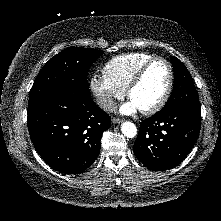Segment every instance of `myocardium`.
<instances>
[{
    "instance_id": "obj_1",
    "label": "myocardium",
    "mask_w": 221,
    "mask_h": 221,
    "mask_svg": "<svg viewBox=\"0 0 221 221\" xmlns=\"http://www.w3.org/2000/svg\"><path fill=\"white\" fill-rule=\"evenodd\" d=\"M156 61H161L166 65L167 70H168V81H167L165 91L163 95L161 96V98L153 106L146 108V109H140V112L144 115H151V114L158 112L160 109L163 108V106L168 101L172 88H173V83H174V72H173L172 65L167 59L161 56L152 57L140 66V68L136 71V73L134 74V76L132 77V79L130 80L126 88V96L130 99L131 92L141 82L147 69Z\"/></svg>"
}]
</instances>
